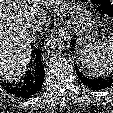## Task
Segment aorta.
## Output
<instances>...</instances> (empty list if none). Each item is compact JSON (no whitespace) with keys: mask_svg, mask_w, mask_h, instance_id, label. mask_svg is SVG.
Segmentation results:
<instances>
[{"mask_svg":"<svg viewBox=\"0 0 113 113\" xmlns=\"http://www.w3.org/2000/svg\"><path fill=\"white\" fill-rule=\"evenodd\" d=\"M45 48L49 53H60L64 50L65 44L61 38L51 37L46 40Z\"/></svg>","mask_w":113,"mask_h":113,"instance_id":"1","label":"aorta"}]
</instances>
